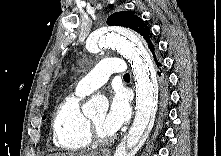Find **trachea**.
<instances>
[{
  "label": "trachea",
  "instance_id": "3493384b",
  "mask_svg": "<svg viewBox=\"0 0 221 156\" xmlns=\"http://www.w3.org/2000/svg\"><path fill=\"white\" fill-rule=\"evenodd\" d=\"M124 78H130V75H129L128 73H126V74L124 75Z\"/></svg>",
  "mask_w": 221,
  "mask_h": 156
}]
</instances>
